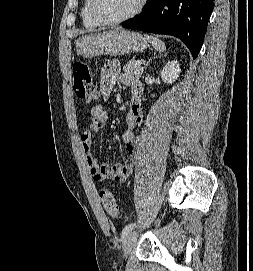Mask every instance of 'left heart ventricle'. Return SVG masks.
<instances>
[{
  "label": "left heart ventricle",
  "mask_w": 253,
  "mask_h": 271,
  "mask_svg": "<svg viewBox=\"0 0 253 271\" xmlns=\"http://www.w3.org/2000/svg\"><path fill=\"white\" fill-rule=\"evenodd\" d=\"M139 0H98L100 15L106 20H115L130 13Z\"/></svg>",
  "instance_id": "left-heart-ventricle-1"
}]
</instances>
